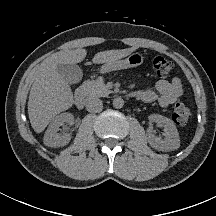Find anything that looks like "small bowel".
<instances>
[{
	"label": "small bowel",
	"mask_w": 216,
	"mask_h": 216,
	"mask_svg": "<svg viewBox=\"0 0 216 216\" xmlns=\"http://www.w3.org/2000/svg\"><path fill=\"white\" fill-rule=\"evenodd\" d=\"M144 102L158 101L162 107L172 105L183 94L182 83L179 78L172 80L161 79L155 84V90L139 91Z\"/></svg>",
	"instance_id": "1"
}]
</instances>
